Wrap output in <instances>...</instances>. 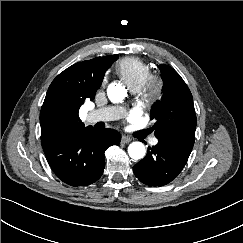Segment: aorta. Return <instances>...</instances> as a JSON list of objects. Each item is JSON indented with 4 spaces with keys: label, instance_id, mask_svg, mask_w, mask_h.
<instances>
[{
    "label": "aorta",
    "instance_id": "obj_1",
    "mask_svg": "<svg viewBox=\"0 0 243 243\" xmlns=\"http://www.w3.org/2000/svg\"><path fill=\"white\" fill-rule=\"evenodd\" d=\"M108 98L114 102H122L127 96V90L120 83H111L107 89ZM145 146L141 142H132L128 146V154L132 159L138 160L145 156Z\"/></svg>",
    "mask_w": 243,
    "mask_h": 243
}]
</instances>
